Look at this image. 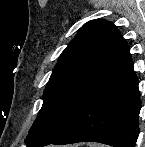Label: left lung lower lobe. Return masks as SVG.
<instances>
[{
  "label": "left lung lower lobe",
  "instance_id": "0a47b994",
  "mask_svg": "<svg viewBox=\"0 0 145 147\" xmlns=\"http://www.w3.org/2000/svg\"><path fill=\"white\" fill-rule=\"evenodd\" d=\"M140 109L138 80L129 47L120 35L68 128L45 145L94 141L134 147Z\"/></svg>",
  "mask_w": 145,
  "mask_h": 147
}]
</instances>
